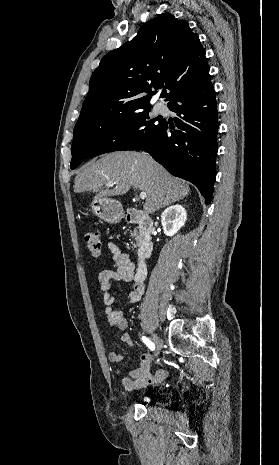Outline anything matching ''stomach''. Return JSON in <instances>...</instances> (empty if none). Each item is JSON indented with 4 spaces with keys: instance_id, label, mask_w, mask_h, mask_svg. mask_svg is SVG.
<instances>
[{
    "instance_id": "obj_1",
    "label": "stomach",
    "mask_w": 279,
    "mask_h": 465,
    "mask_svg": "<svg viewBox=\"0 0 279 465\" xmlns=\"http://www.w3.org/2000/svg\"><path fill=\"white\" fill-rule=\"evenodd\" d=\"M91 207L96 216L111 224L119 223L123 217L122 205L114 199L94 198Z\"/></svg>"
}]
</instances>
